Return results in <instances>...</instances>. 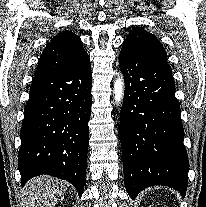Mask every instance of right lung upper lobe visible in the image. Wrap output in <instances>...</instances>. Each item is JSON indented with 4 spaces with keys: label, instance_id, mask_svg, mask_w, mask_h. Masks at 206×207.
I'll use <instances>...</instances> for the list:
<instances>
[{
    "label": "right lung upper lobe",
    "instance_id": "obj_1",
    "mask_svg": "<svg viewBox=\"0 0 206 207\" xmlns=\"http://www.w3.org/2000/svg\"><path fill=\"white\" fill-rule=\"evenodd\" d=\"M86 57L88 54L83 50L81 39L71 31H64L54 37L43 50L35 77L61 72Z\"/></svg>",
    "mask_w": 206,
    "mask_h": 207
}]
</instances>
